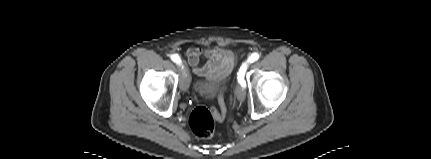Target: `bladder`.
<instances>
[{
    "label": "bladder",
    "instance_id": "31cf9c89",
    "mask_svg": "<svg viewBox=\"0 0 431 159\" xmlns=\"http://www.w3.org/2000/svg\"><path fill=\"white\" fill-rule=\"evenodd\" d=\"M222 85V80L213 78L202 81L196 85V89L207 97L214 96Z\"/></svg>",
    "mask_w": 431,
    "mask_h": 159
}]
</instances>
